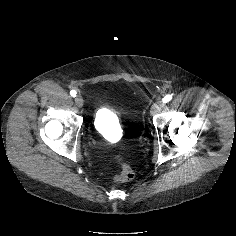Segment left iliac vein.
<instances>
[{"label": "left iliac vein", "mask_w": 236, "mask_h": 236, "mask_svg": "<svg viewBox=\"0 0 236 236\" xmlns=\"http://www.w3.org/2000/svg\"><path fill=\"white\" fill-rule=\"evenodd\" d=\"M165 106L163 101H158L157 103H155L152 107H151V114L155 115L157 113H159L163 107Z\"/></svg>", "instance_id": "4c4485c4"}]
</instances>
